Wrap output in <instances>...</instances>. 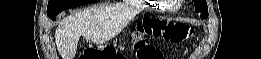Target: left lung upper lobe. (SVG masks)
<instances>
[{
  "mask_svg": "<svg viewBox=\"0 0 261 59\" xmlns=\"http://www.w3.org/2000/svg\"><path fill=\"white\" fill-rule=\"evenodd\" d=\"M195 2L196 12H202L201 18L205 19L208 17V8L205 0H193Z\"/></svg>",
  "mask_w": 261,
  "mask_h": 59,
  "instance_id": "1",
  "label": "left lung upper lobe"
}]
</instances>
